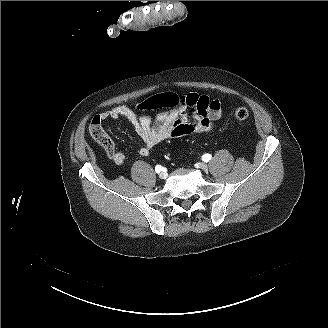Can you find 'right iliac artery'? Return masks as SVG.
<instances>
[{
    "instance_id": "1",
    "label": "right iliac artery",
    "mask_w": 328,
    "mask_h": 328,
    "mask_svg": "<svg viewBox=\"0 0 328 328\" xmlns=\"http://www.w3.org/2000/svg\"><path fill=\"white\" fill-rule=\"evenodd\" d=\"M155 171H156V173H160L162 171L161 165H156Z\"/></svg>"
}]
</instances>
